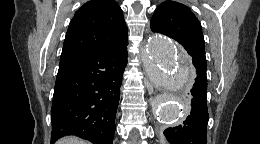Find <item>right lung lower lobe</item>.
Listing matches in <instances>:
<instances>
[{"label": "right lung lower lobe", "instance_id": "obj_1", "mask_svg": "<svg viewBox=\"0 0 260 144\" xmlns=\"http://www.w3.org/2000/svg\"><path fill=\"white\" fill-rule=\"evenodd\" d=\"M127 43L61 60L51 108V142L75 135L112 144Z\"/></svg>", "mask_w": 260, "mask_h": 144}]
</instances>
